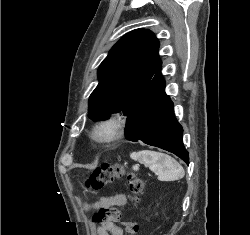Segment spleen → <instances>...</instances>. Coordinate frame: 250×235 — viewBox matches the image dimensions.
I'll return each instance as SVG.
<instances>
[{
  "label": "spleen",
  "instance_id": "1",
  "mask_svg": "<svg viewBox=\"0 0 250 235\" xmlns=\"http://www.w3.org/2000/svg\"><path fill=\"white\" fill-rule=\"evenodd\" d=\"M131 158L146 164L161 181H175L184 177V168L171 156L150 150L131 154Z\"/></svg>",
  "mask_w": 250,
  "mask_h": 235
}]
</instances>
